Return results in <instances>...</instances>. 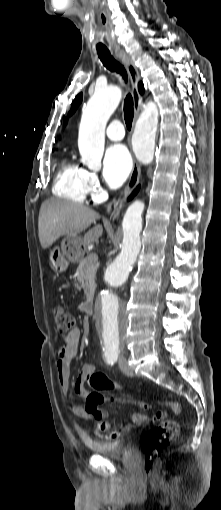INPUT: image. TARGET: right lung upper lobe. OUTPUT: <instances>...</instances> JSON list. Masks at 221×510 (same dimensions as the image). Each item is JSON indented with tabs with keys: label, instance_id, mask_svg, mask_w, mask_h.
I'll list each match as a JSON object with an SVG mask.
<instances>
[{
	"label": "right lung upper lobe",
	"instance_id": "obj_1",
	"mask_svg": "<svg viewBox=\"0 0 221 510\" xmlns=\"http://www.w3.org/2000/svg\"><path fill=\"white\" fill-rule=\"evenodd\" d=\"M139 91L141 94L143 93V84L142 83H139Z\"/></svg>",
	"mask_w": 221,
	"mask_h": 510
}]
</instances>
